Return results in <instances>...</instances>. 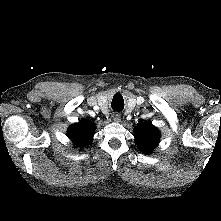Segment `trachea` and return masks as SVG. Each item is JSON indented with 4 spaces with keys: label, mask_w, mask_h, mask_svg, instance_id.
Returning a JSON list of instances; mask_svg holds the SVG:
<instances>
[{
    "label": "trachea",
    "mask_w": 221,
    "mask_h": 221,
    "mask_svg": "<svg viewBox=\"0 0 221 221\" xmlns=\"http://www.w3.org/2000/svg\"><path fill=\"white\" fill-rule=\"evenodd\" d=\"M123 107H119V106H113V109L116 111H120Z\"/></svg>",
    "instance_id": "3493384b"
}]
</instances>
